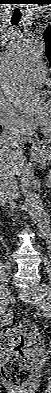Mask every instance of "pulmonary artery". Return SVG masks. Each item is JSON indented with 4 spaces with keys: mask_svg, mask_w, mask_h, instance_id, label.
<instances>
[{
    "mask_svg": "<svg viewBox=\"0 0 51 393\" xmlns=\"http://www.w3.org/2000/svg\"><path fill=\"white\" fill-rule=\"evenodd\" d=\"M45 69L42 65H35L28 75V79L31 84L39 86L46 81Z\"/></svg>",
    "mask_w": 51,
    "mask_h": 393,
    "instance_id": "obj_1",
    "label": "pulmonary artery"
}]
</instances>
